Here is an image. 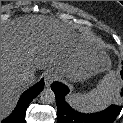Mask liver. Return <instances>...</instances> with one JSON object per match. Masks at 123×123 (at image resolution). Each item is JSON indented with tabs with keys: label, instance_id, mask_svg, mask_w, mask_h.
Returning a JSON list of instances; mask_svg holds the SVG:
<instances>
[{
	"label": "liver",
	"instance_id": "6515ba94",
	"mask_svg": "<svg viewBox=\"0 0 123 123\" xmlns=\"http://www.w3.org/2000/svg\"><path fill=\"white\" fill-rule=\"evenodd\" d=\"M100 48L85 34L44 15H27L1 25V120L20 95L34 84L36 69L54 71L71 80L96 72ZM29 72L30 81L22 79Z\"/></svg>",
	"mask_w": 123,
	"mask_h": 123
}]
</instances>
